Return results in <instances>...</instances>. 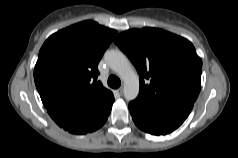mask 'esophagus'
I'll return each instance as SVG.
<instances>
[{
  "mask_svg": "<svg viewBox=\"0 0 238 158\" xmlns=\"http://www.w3.org/2000/svg\"><path fill=\"white\" fill-rule=\"evenodd\" d=\"M118 92H119L120 95H122L123 94V87H119Z\"/></svg>",
  "mask_w": 238,
  "mask_h": 158,
  "instance_id": "obj_1",
  "label": "esophagus"
}]
</instances>
